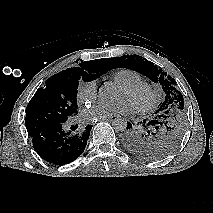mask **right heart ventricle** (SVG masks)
Segmentation results:
<instances>
[{"label":"right heart ventricle","mask_w":213,"mask_h":213,"mask_svg":"<svg viewBox=\"0 0 213 213\" xmlns=\"http://www.w3.org/2000/svg\"><path fill=\"white\" fill-rule=\"evenodd\" d=\"M112 79L121 87L143 81V77L138 72L127 68L116 70L112 74Z\"/></svg>","instance_id":"right-heart-ventricle-1"}]
</instances>
